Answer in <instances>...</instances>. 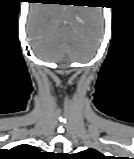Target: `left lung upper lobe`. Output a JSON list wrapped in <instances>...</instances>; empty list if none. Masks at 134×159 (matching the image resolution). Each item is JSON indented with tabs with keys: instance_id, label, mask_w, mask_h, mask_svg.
Wrapping results in <instances>:
<instances>
[{
	"instance_id": "obj_1",
	"label": "left lung upper lobe",
	"mask_w": 134,
	"mask_h": 159,
	"mask_svg": "<svg viewBox=\"0 0 134 159\" xmlns=\"http://www.w3.org/2000/svg\"><path fill=\"white\" fill-rule=\"evenodd\" d=\"M72 159H106L104 155L94 149H87L71 157Z\"/></svg>"
}]
</instances>
